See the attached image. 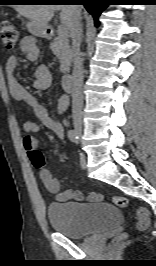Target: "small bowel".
Segmentation results:
<instances>
[{"instance_id":"small-bowel-1","label":"small bowel","mask_w":156,"mask_h":266,"mask_svg":"<svg viewBox=\"0 0 156 266\" xmlns=\"http://www.w3.org/2000/svg\"><path fill=\"white\" fill-rule=\"evenodd\" d=\"M21 50L26 54L27 58L32 60L38 55V47L34 38L26 36L21 40L20 43ZM18 64L17 57L11 56L6 62V74L8 81V88L10 95L17 101L24 102L29 106L35 115L41 120L43 125L50 129L55 136L61 141L64 139V127L63 124L52 118L49 115L47 108L38 100V98L29 93L17 79L15 75V70ZM34 87L38 90H45L51 85V74L47 67L39 66L35 71ZM68 106V99L66 96H62L58 103V110L64 112ZM24 131L26 135L23 137L22 145L28 156L31 152L36 151L38 147V140L35 137L40 130L39 125L31 120L24 123ZM40 178L47 190L51 195H54L56 199L60 202H67L74 199H81L82 195L79 191L74 189H67L65 191H60L59 181L53 177L51 172L44 166L39 168ZM102 195L98 193H91L88 196L90 201H100L102 200Z\"/></svg>"}]
</instances>
